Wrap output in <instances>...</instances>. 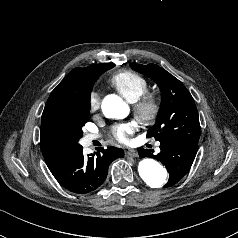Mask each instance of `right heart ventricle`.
Segmentation results:
<instances>
[{
	"mask_svg": "<svg viewBox=\"0 0 238 238\" xmlns=\"http://www.w3.org/2000/svg\"><path fill=\"white\" fill-rule=\"evenodd\" d=\"M109 83L129 102H134L148 88L147 80L140 74L130 70L113 73L109 77Z\"/></svg>",
	"mask_w": 238,
	"mask_h": 238,
	"instance_id": "1",
	"label": "right heart ventricle"
}]
</instances>
